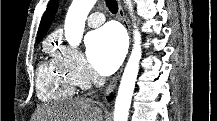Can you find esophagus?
I'll use <instances>...</instances> for the list:
<instances>
[{"label": "esophagus", "instance_id": "obj_1", "mask_svg": "<svg viewBox=\"0 0 217 121\" xmlns=\"http://www.w3.org/2000/svg\"><path fill=\"white\" fill-rule=\"evenodd\" d=\"M117 3H118V16H119L121 22L123 23L124 27L127 29L129 37H130V27H129L123 6H122L120 0H117ZM122 70H123V67L112 78V80L110 81V83L107 86L106 94L111 93L115 89V87H116V85L120 79Z\"/></svg>", "mask_w": 217, "mask_h": 121}]
</instances>
